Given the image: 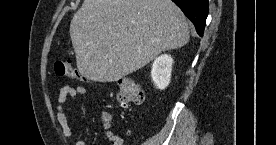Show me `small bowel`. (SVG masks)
<instances>
[{
	"label": "small bowel",
	"mask_w": 276,
	"mask_h": 145,
	"mask_svg": "<svg viewBox=\"0 0 276 145\" xmlns=\"http://www.w3.org/2000/svg\"><path fill=\"white\" fill-rule=\"evenodd\" d=\"M87 92V88L84 86H64L57 97L55 105L56 117L59 124L62 127V133L65 137H70L72 134V128L70 126L67 114L65 112V104L69 98L84 95ZM102 127L107 139L112 145H123V139L114 133L112 127V116L109 113H104L101 117ZM76 145H87L86 141H78Z\"/></svg>",
	"instance_id": "small-bowel-1"
}]
</instances>
